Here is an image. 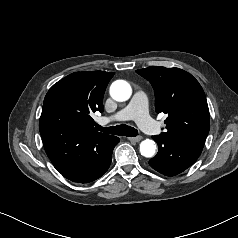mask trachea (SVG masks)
<instances>
[{"label":"trachea","mask_w":238,"mask_h":238,"mask_svg":"<svg viewBox=\"0 0 238 238\" xmlns=\"http://www.w3.org/2000/svg\"><path fill=\"white\" fill-rule=\"evenodd\" d=\"M96 129L98 131H101L107 134H113V135H119V136L135 137L138 135V131L135 128L127 126L125 124L111 126V127H102L96 124Z\"/></svg>","instance_id":"3493384b"}]
</instances>
